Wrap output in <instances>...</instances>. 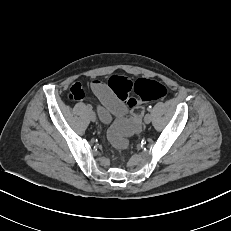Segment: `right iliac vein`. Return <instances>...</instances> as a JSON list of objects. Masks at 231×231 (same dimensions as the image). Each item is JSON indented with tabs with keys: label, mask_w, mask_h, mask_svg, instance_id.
Listing matches in <instances>:
<instances>
[{
	"label": "right iliac vein",
	"mask_w": 231,
	"mask_h": 231,
	"mask_svg": "<svg viewBox=\"0 0 231 231\" xmlns=\"http://www.w3.org/2000/svg\"><path fill=\"white\" fill-rule=\"evenodd\" d=\"M89 116H90V120L92 122L96 121V115H95V113L93 111H90Z\"/></svg>",
	"instance_id": "obj_1"
}]
</instances>
